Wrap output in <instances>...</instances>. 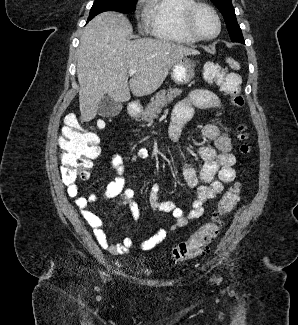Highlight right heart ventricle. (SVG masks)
I'll return each mask as SVG.
<instances>
[{"mask_svg": "<svg viewBox=\"0 0 298 325\" xmlns=\"http://www.w3.org/2000/svg\"><path fill=\"white\" fill-rule=\"evenodd\" d=\"M194 2L191 0H151L145 3L151 35L159 41H180V46H193L197 41L183 32L179 19L182 11Z\"/></svg>", "mask_w": 298, "mask_h": 325, "instance_id": "right-heart-ventricle-1", "label": "right heart ventricle"}]
</instances>
